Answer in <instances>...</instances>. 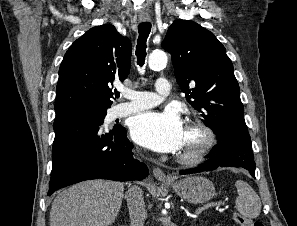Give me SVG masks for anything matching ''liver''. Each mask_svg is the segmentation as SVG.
<instances>
[{
  "label": "liver",
  "mask_w": 297,
  "mask_h": 226,
  "mask_svg": "<svg viewBox=\"0 0 297 226\" xmlns=\"http://www.w3.org/2000/svg\"><path fill=\"white\" fill-rule=\"evenodd\" d=\"M124 184L91 180L60 193L53 201L50 226H109L122 204Z\"/></svg>",
  "instance_id": "1"
}]
</instances>
